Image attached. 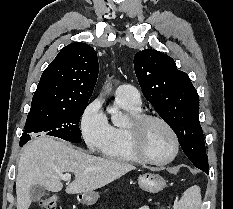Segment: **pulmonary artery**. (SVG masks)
<instances>
[{"label": "pulmonary artery", "instance_id": "obj_1", "mask_svg": "<svg viewBox=\"0 0 233 209\" xmlns=\"http://www.w3.org/2000/svg\"><path fill=\"white\" fill-rule=\"evenodd\" d=\"M116 99L134 106L141 105V99L138 90L130 84H122L117 88Z\"/></svg>", "mask_w": 233, "mask_h": 209}]
</instances>
